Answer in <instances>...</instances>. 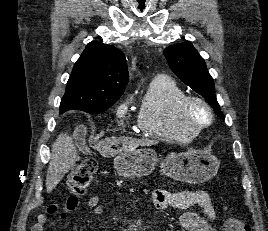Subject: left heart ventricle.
Wrapping results in <instances>:
<instances>
[{
  "instance_id": "left-heart-ventricle-1",
  "label": "left heart ventricle",
  "mask_w": 268,
  "mask_h": 231,
  "mask_svg": "<svg viewBox=\"0 0 268 231\" xmlns=\"http://www.w3.org/2000/svg\"><path fill=\"white\" fill-rule=\"evenodd\" d=\"M206 118V114L199 106H194L190 111V120L194 123L202 122Z\"/></svg>"
}]
</instances>
